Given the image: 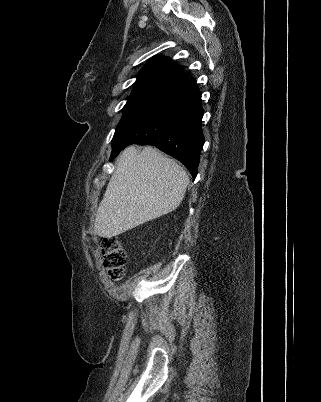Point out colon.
Instances as JSON below:
<instances>
[{
  "instance_id": "obj_1",
  "label": "colon",
  "mask_w": 321,
  "mask_h": 402,
  "mask_svg": "<svg viewBox=\"0 0 321 402\" xmlns=\"http://www.w3.org/2000/svg\"><path fill=\"white\" fill-rule=\"evenodd\" d=\"M100 252L107 275L113 281L121 280L126 271L127 254L116 237H105L101 241Z\"/></svg>"
}]
</instances>
